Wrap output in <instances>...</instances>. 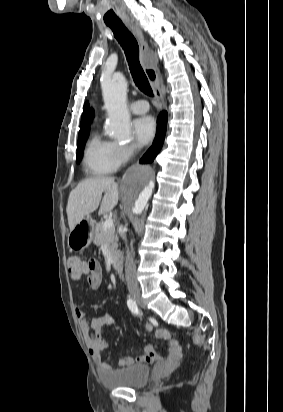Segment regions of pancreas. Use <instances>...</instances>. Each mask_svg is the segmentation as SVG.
Listing matches in <instances>:
<instances>
[{
    "instance_id": "1",
    "label": "pancreas",
    "mask_w": 283,
    "mask_h": 412,
    "mask_svg": "<svg viewBox=\"0 0 283 412\" xmlns=\"http://www.w3.org/2000/svg\"><path fill=\"white\" fill-rule=\"evenodd\" d=\"M93 235V241L96 245L105 244L108 247L111 255H115L118 248V236L115 232L114 227L104 230L103 222H99L94 227Z\"/></svg>"
}]
</instances>
